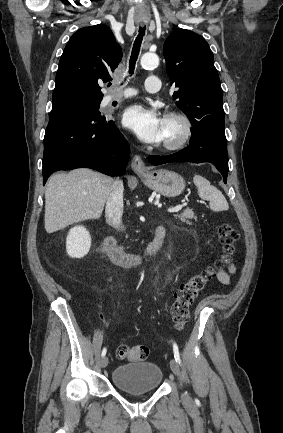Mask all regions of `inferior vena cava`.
I'll list each match as a JSON object with an SVG mask.
<instances>
[{"instance_id":"1","label":"inferior vena cava","mask_w":283,"mask_h":433,"mask_svg":"<svg viewBox=\"0 0 283 433\" xmlns=\"http://www.w3.org/2000/svg\"><path fill=\"white\" fill-rule=\"evenodd\" d=\"M123 214V182L114 180L107 198L105 217L111 225H120Z\"/></svg>"}]
</instances>
